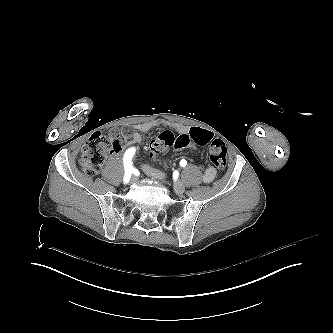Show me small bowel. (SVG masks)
I'll use <instances>...</instances> for the list:
<instances>
[{
	"label": "small bowel",
	"mask_w": 333,
	"mask_h": 333,
	"mask_svg": "<svg viewBox=\"0 0 333 333\" xmlns=\"http://www.w3.org/2000/svg\"><path fill=\"white\" fill-rule=\"evenodd\" d=\"M165 125L164 121L162 120H155L152 122H145L134 126L133 128V136L128 142V147L133 148L136 144L141 143L143 141L142 133H146L150 131L154 127L163 126ZM167 128L173 127L172 121L166 122ZM175 130H182L183 132L179 135L180 137L186 138L190 136H196L199 138H211L212 134L210 131L201 129V128H191L188 129L187 124L175 123L174 124ZM216 175V170L213 167H208L204 173L203 180L205 183H210L214 180Z\"/></svg>",
	"instance_id": "obj_1"
}]
</instances>
